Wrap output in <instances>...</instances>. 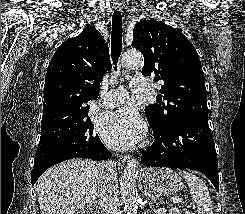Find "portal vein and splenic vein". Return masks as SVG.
I'll return each instance as SVG.
<instances>
[{
    "mask_svg": "<svg viewBox=\"0 0 245 214\" xmlns=\"http://www.w3.org/2000/svg\"><path fill=\"white\" fill-rule=\"evenodd\" d=\"M183 200H184L183 198H176V199L172 200V203L179 204V203L183 202Z\"/></svg>",
    "mask_w": 245,
    "mask_h": 214,
    "instance_id": "portal-vein-and-splenic-vein-1",
    "label": "portal vein and splenic vein"
}]
</instances>
